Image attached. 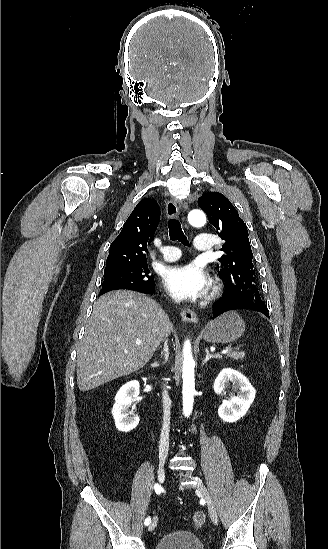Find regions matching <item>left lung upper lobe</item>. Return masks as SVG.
Instances as JSON below:
<instances>
[{
	"instance_id": "1",
	"label": "left lung upper lobe",
	"mask_w": 328,
	"mask_h": 549,
	"mask_svg": "<svg viewBox=\"0 0 328 549\" xmlns=\"http://www.w3.org/2000/svg\"><path fill=\"white\" fill-rule=\"evenodd\" d=\"M209 222L224 240L218 274L225 284V295L245 296L261 301L252 263L253 254L246 224L231 202L221 193L209 192L198 199Z\"/></svg>"
}]
</instances>
